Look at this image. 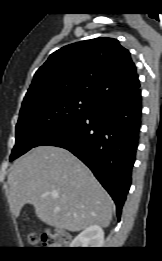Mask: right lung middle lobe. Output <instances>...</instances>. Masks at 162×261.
Segmentation results:
<instances>
[{"mask_svg": "<svg viewBox=\"0 0 162 261\" xmlns=\"http://www.w3.org/2000/svg\"><path fill=\"white\" fill-rule=\"evenodd\" d=\"M96 102L77 95H54L24 100L16 125L10 161L26 153L54 129L88 114Z\"/></svg>", "mask_w": 162, "mask_h": 261, "instance_id": "dd1d6c3e", "label": "right lung middle lobe"}]
</instances>
